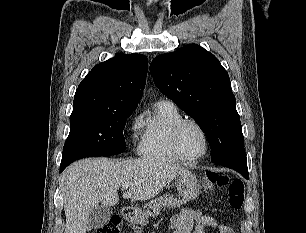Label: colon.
Returning <instances> with one entry per match:
<instances>
[{
	"instance_id": "1",
	"label": "colon",
	"mask_w": 306,
	"mask_h": 233,
	"mask_svg": "<svg viewBox=\"0 0 306 233\" xmlns=\"http://www.w3.org/2000/svg\"><path fill=\"white\" fill-rule=\"evenodd\" d=\"M202 185L206 190L212 189L215 185H228L229 205L234 210H241L244 205L245 184L241 179H229L225 176L208 171L202 178ZM120 218L112 215L108 221L96 233H120Z\"/></svg>"
}]
</instances>
